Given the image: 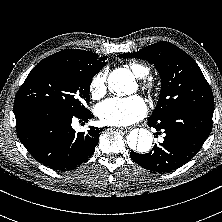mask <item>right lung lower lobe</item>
I'll use <instances>...</instances> for the list:
<instances>
[{
    "instance_id": "1",
    "label": "right lung lower lobe",
    "mask_w": 222,
    "mask_h": 222,
    "mask_svg": "<svg viewBox=\"0 0 222 222\" xmlns=\"http://www.w3.org/2000/svg\"><path fill=\"white\" fill-rule=\"evenodd\" d=\"M16 131L21 143L40 163L54 170H72L94 153L103 129L90 127L87 133L72 129L73 118L88 122L93 114L68 113L60 108L39 104L14 105Z\"/></svg>"
}]
</instances>
